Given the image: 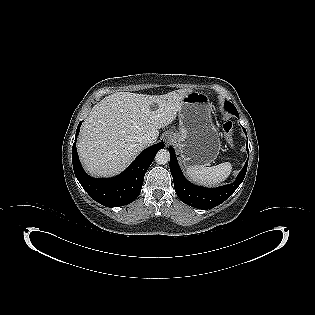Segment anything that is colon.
<instances>
[{
	"label": "colon",
	"instance_id": "obj_1",
	"mask_svg": "<svg viewBox=\"0 0 315 315\" xmlns=\"http://www.w3.org/2000/svg\"><path fill=\"white\" fill-rule=\"evenodd\" d=\"M221 128L224 133L225 139L229 145L233 144V124L231 121H223Z\"/></svg>",
	"mask_w": 315,
	"mask_h": 315
}]
</instances>
